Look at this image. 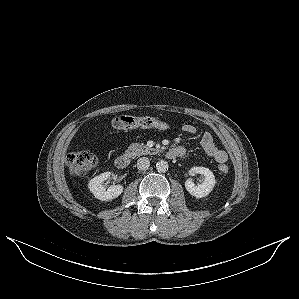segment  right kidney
I'll use <instances>...</instances> for the list:
<instances>
[{
    "label": "right kidney",
    "mask_w": 299,
    "mask_h": 299,
    "mask_svg": "<svg viewBox=\"0 0 299 299\" xmlns=\"http://www.w3.org/2000/svg\"><path fill=\"white\" fill-rule=\"evenodd\" d=\"M110 176V172H105L89 181L88 188L95 198L101 201H109L117 198L123 192L122 185H112L108 189L104 188L102 182L107 180Z\"/></svg>",
    "instance_id": "obj_1"
}]
</instances>
